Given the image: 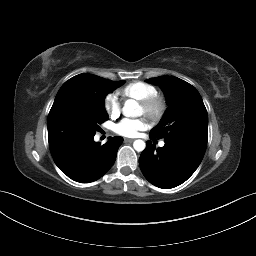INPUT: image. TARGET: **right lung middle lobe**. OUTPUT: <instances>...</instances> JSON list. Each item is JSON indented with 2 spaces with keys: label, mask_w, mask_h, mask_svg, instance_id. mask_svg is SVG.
Returning a JSON list of instances; mask_svg holds the SVG:
<instances>
[{
  "label": "right lung middle lobe",
  "mask_w": 256,
  "mask_h": 256,
  "mask_svg": "<svg viewBox=\"0 0 256 256\" xmlns=\"http://www.w3.org/2000/svg\"><path fill=\"white\" fill-rule=\"evenodd\" d=\"M91 90L79 102H64L54 111L48 129L56 132H74L80 135L95 134L100 130L99 124L108 120L104 108L105 96L125 83L110 81L87 74Z\"/></svg>",
  "instance_id": "1"
}]
</instances>
